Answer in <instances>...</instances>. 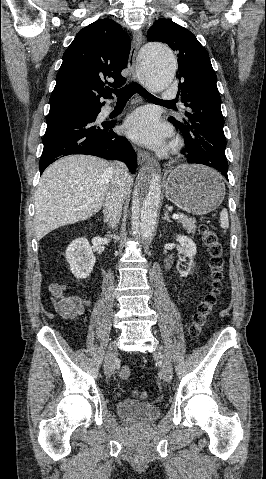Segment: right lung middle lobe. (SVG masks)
<instances>
[{
    "instance_id": "1",
    "label": "right lung middle lobe",
    "mask_w": 266,
    "mask_h": 479,
    "mask_svg": "<svg viewBox=\"0 0 266 479\" xmlns=\"http://www.w3.org/2000/svg\"><path fill=\"white\" fill-rule=\"evenodd\" d=\"M77 110L88 111V112H95L97 111V107H86V108H76Z\"/></svg>"
}]
</instances>
